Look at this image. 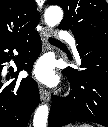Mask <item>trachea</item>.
<instances>
[{
  "label": "trachea",
  "instance_id": "trachea-1",
  "mask_svg": "<svg viewBox=\"0 0 108 127\" xmlns=\"http://www.w3.org/2000/svg\"><path fill=\"white\" fill-rule=\"evenodd\" d=\"M50 43L56 44V43H61L59 40H56L54 38H49L48 39Z\"/></svg>",
  "mask_w": 108,
  "mask_h": 127
}]
</instances>
